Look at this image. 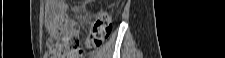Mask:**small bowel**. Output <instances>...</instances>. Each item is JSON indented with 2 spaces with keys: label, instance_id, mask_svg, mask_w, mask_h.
Listing matches in <instances>:
<instances>
[{
  "label": "small bowel",
  "instance_id": "obj_1",
  "mask_svg": "<svg viewBox=\"0 0 225 58\" xmlns=\"http://www.w3.org/2000/svg\"><path fill=\"white\" fill-rule=\"evenodd\" d=\"M65 9V3L59 0H47L45 6V21L47 27L53 34L64 30V24L61 22V16Z\"/></svg>",
  "mask_w": 225,
  "mask_h": 58
}]
</instances>
